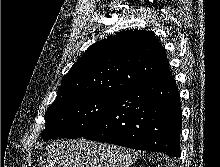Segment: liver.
I'll return each instance as SVG.
<instances>
[{
	"mask_svg": "<svg viewBox=\"0 0 220 167\" xmlns=\"http://www.w3.org/2000/svg\"><path fill=\"white\" fill-rule=\"evenodd\" d=\"M137 155L134 150L114 145L65 140L47 147L39 167H130Z\"/></svg>",
	"mask_w": 220,
	"mask_h": 167,
	"instance_id": "obj_1",
	"label": "liver"
}]
</instances>
